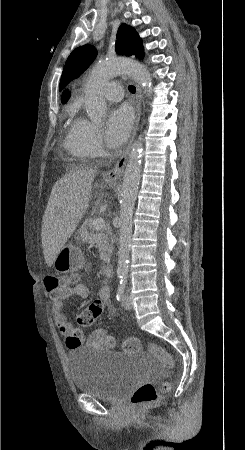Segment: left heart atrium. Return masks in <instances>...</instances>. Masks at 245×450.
I'll return each instance as SVG.
<instances>
[{
    "label": "left heart atrium",
    "instance_id": "1",
    "mask_svg": "<svg viewBox=\"0 0 245 450\" xmlns=\"http://www.w3.org/2000/svg\"><path fill=\"white\" fill-rule=\"evenodd\" d=\"M134 121V113L128 104L112 109L108 115L106 140L110 147L121 146L128 138Z\"/></svg>",
    "mask_w": 245,
    "mask_h": 450
}]
</instances>
